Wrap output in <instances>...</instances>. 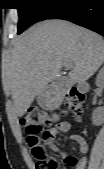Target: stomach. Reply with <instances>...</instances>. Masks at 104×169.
Returning a JSON list of instances; mask_svg holds the SVG:
<instances>
[{"instance_id":"stomach-1","label":"stomach","mask_w":104,"mask_h":169,"mask_svg":"<svg viewBox=\"0 0 104 169\" xmlns=\"http://www.w3.org/2000/svg\"><path fill=\"white\" fill-rule=\"evenodd\" d=\"M54 100V96H47L46 89H43L38 95V102L44 106L49 107Z\"/></svg>"}]
</instances>
